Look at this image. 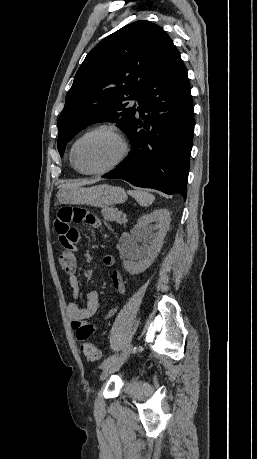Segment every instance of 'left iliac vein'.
I'll return each mask as SVG.
<instances>
[{
  "instance_id": "4c4485c4",
  "label": "left iliac vein",
  "mask_w": 257,
  "mask_h": 459,
  "mask_svg": "<svg viewBox=\"0 0 257 459\" xmlns=\"http://www.w3.org/2000/svg\"><path fill=\"white\" fill-rule=\"evenodd\" d=\"M131 350L132 346L130 345L121 356L117 357L111 364L103 368L100 380L106 379L110 374L118 370L129 357Z\"/></svg>"
}]
</instances>
